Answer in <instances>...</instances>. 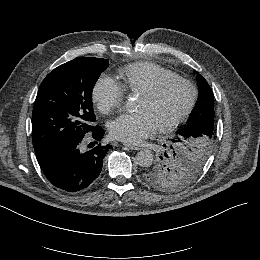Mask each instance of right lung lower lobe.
Listing matches in <instances>:
<instances>
[{"label": "right lung lower lobe", "instance_id": "right-lung-lower-lobe-1", "mask_svg": "<svg viewBox=\"0 0 260 260\" xmlns=\"http://www.w3.org/2000/svg\"><path fill=\"white\" fill-rule=\"evenodd\" d=\"M97 145L83 152L80 142L60 143L35 150L39 165L47 179L65 192H78L89 187L100 175L105 153L111 148L99 143L104 130L95 126L91 132Z\"/></svg>", "mask_w": 260, "mask_h": 260}]
</instances>
